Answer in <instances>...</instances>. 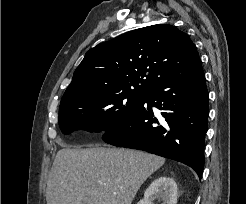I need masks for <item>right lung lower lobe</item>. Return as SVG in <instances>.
Masks as SVG:
<instances>
[{"label":"right lung lower lobe","mask_w":246,"mask_h":204,"mask_svg":"<svg viewBox=\"0 0 246 204\" xmlns=\"http://www.w3.org/2000/svg\"><path fill=\"white\" fill-rule=\"evenodd\" d=\"M208 98L198 59L142 93L129 118L104 133L102 139L114 146L140 149L182 162L193 168L201 179ZM152 106L159 111L153 112Z\"/></svg>","instance_id":"obj_1"}]
</instances>
